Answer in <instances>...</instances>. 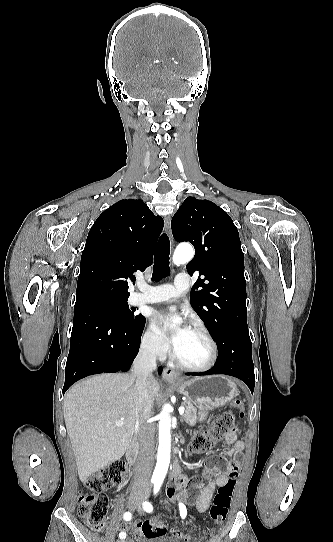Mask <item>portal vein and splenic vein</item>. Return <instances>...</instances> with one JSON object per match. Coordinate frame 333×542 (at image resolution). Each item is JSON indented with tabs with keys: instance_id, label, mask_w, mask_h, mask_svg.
Wrapping results in <instances>:
<instances>
[{
	"instance_id": "18ae733b",
	"label": "portal vein and splenic vein",
	"mask_w": 333,
	"mask_h": 542,
	"mask_svg": "<svg viewBox=\"0 0 333 542\" xmlns=\"http://www.w3.org/2000/svg\"><path fill=\"white\" fill-rule=\"evenodd\" d=\"M180 416H183L184 412H185V408H183V406H180L179 410H178ZM116 426H123V422H115Z\"/></svg>"
}]
</instances>
